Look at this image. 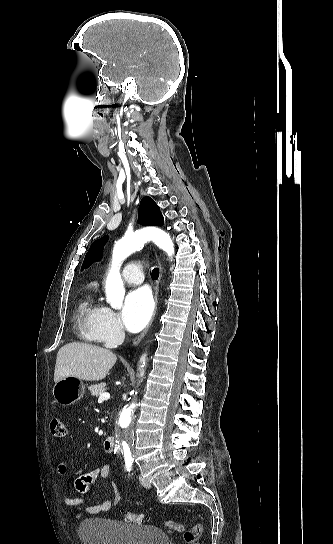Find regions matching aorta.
<instances>
[{
	"instance_id": "aorta-1",
	"label": "aorta",
	"mask_w": 333,
	"mask_h": 544,
	"mask_svg": "<svg viewBox=\"0 0 333 544\" xmlns=\"http://www.w3.org/2000/svg\"><path fill=\"white\" fill-rule=\"evenodd\" d=\"M153 241L158 247L164 250L169 257L174 254V245L170 236L163 230L149 227L135 233L127 234L120 239L113 248L112 266L106 279V301L114 309L122 307L125 289L120 274L122 262L132 253L141 249L147 241ZM145 362L141 367H144ZM136 407L132 403L125 407L118 420L117 438L126 458L132 459L133 453V428L131 425L132 411Z\"/></svg>"
}]
</instances>
